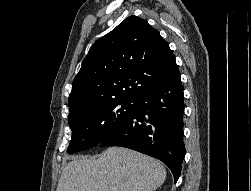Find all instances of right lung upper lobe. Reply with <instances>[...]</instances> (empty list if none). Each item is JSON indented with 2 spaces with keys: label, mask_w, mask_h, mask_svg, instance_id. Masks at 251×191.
I'll return each mask as SVG.
<instances>
[{
  "label": "right lung upper lobe",
  "mask_w": 251,
  "mask_h": 191,
  "mask_svg": "<svg viewBox=\"0 0 251 191\" xmlns=\"http://www.w3.org/2000/svg\"><path fill=\"white\" fill-rule=\"evenodd\" d=\"M178 74L175 57L160 33L146 20L130 16L90 48L72 83L69 109L136 100Z\"/></svg>",
  "instance_id": "1"
}]
</instances>
